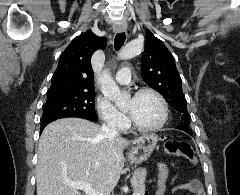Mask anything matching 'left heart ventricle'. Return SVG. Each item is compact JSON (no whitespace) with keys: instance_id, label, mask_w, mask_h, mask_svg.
Returning <instances> with one entry per match:
<instances>
[{"instance_id":"b2bd125f","label":"left heart ventricle","mask_w":240,"mask_h":195,"mask_svg":"<svg viewBox=\"0 0 240 195\" xmlns=\"http://www.w3.org/2000/svg\"><path fill=\"white\" fill-rule=\"evenodd\" d=\"M124 112L140 126H150L157 123L161 116V106L156 97L143 94L135 98H128L124 104Z\"/></svg>"}]
</instances>
